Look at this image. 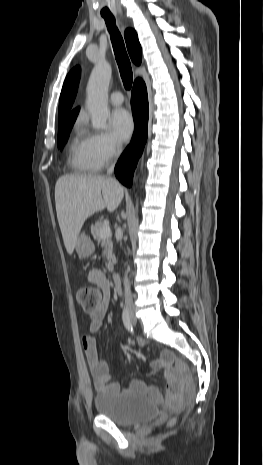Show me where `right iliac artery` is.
Here are the masks:
<instances>
[{"instance_id":"1","label":"right iliac artery","mask_w":263,"mask_h":465,"mask_svg":"<svg viewBox=\"0 0 263 465\" xmlns=\"http://www.w3.org/2000/svg\"><path fill=\"white\" fill-rule=\"evenodd\" d=\"M122 320H123V323L126 329L129 332L134 333L133 326H132L131 319H130L129 310L127 308L123 310Z\"/></svg>"}]
</instances>
